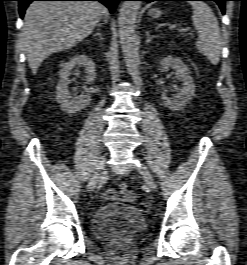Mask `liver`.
<instances>
[{"instance_id":"1","label":"liver","mask_w":247,"mask_h":265,"mask_svg":"<svg viewBox=\"0 0 247 265\" xmlns=\"http://www.w3.org/2000/svg\"><path fill=\"white\" fill-rule=\"evenodd\" d=\"M108 14L98 2L36 1L26 10L22 40L35 75L51 54L69 49L88 37Z\"/></svg>"}]
</instances>
